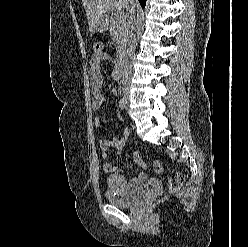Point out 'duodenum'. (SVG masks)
Segmentation results:
<instances>
[{
  "label": "duodenum",
  "mask_w": 248,
  "mask_h": 247,
  "mask_svg": "<svg viewBox=\"0 0 248 247\" xmlns=\"http://www.w3.org/2000/svg\"><path fill=\"white\" fill-rule=\"evenodd\" d=\"M127 64V58L125 55L121 54L116 63V69L119 73H123Z\"/></svg>",
  "instance_id": "obj_1"
}]
</instances>
